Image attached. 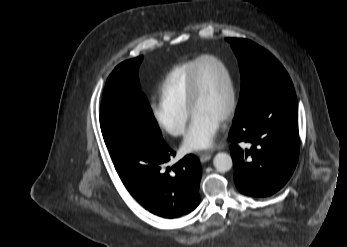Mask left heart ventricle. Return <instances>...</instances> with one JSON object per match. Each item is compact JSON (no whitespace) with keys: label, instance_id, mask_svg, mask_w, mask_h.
Here are the masks:
<instances>
[{"label":"left heart ventricle","instance_id":"1","mask_svg":"<svg viewBox=\"0 0 347 247\" xmlns=\"http://www.w3.org/2000/svg\"><path fill=\"white\" fill-rule=\"evenodd\" d=\"M199 96L193 114H204L221 120L229 99L225 73L213 61H203L198 68Z\"/></svg>","mask_w":347,"mask_h":247}]
</instances>
